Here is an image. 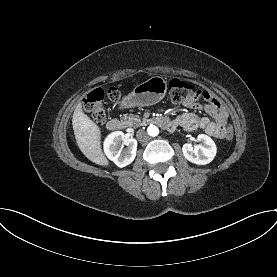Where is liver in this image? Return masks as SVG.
<instances>
[{"label":"liver","mask_w":277,"mask_h":277,"mask_svg":"<svg viewBox=\"0 0 277 277\" xmlns=\"http://www.w3.org/2000/svg\"><path fill=\"white\" fill-rule=\"evenodd\" d=\"M72 125L81 152L93 163L108 166L109 161L101 148L100 128L83 112L82 104L74 110Z\"/></svg>","instance_id":"1"}]
</instances>
